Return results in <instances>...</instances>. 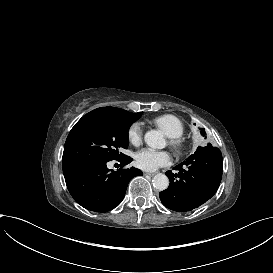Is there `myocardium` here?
<instances>
[{
    "label": "myocardium",
    "instance_id": "f54148a6",
    "mask_svg": "<svg viewBox=\"0 0 273 273\" xmlns=\"http://www.w3.org/2000/svg\"><path fill=\"white\" fill-rule=\"evenodd\" d=\"M170 144L176 150H180L183 145V141L179 137L178 138H170Z\"/></svg>",
    "mask_w": 273,
    "mask_h": 273
}]
</instances>
